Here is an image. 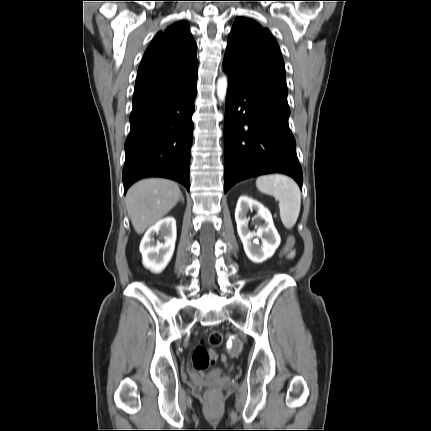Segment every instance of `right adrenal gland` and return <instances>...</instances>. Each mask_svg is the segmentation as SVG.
Masks as SVG:
<instances>
[{"label":"right adrenal gland","mask_w":431,"mask_h":431,"mask_svg":"<svg viewBox=\"0 0 431 431\" xmlns=\"http://www.w3.org/2000/svg\"><path fill=\"white\" fill-rule=\"evenodd\" d=\"M180 200L182 201V203H184V198L182 195L180 196Z\"/></svg>","instance_id":"obj_1"}]
</instances>
